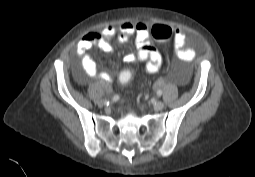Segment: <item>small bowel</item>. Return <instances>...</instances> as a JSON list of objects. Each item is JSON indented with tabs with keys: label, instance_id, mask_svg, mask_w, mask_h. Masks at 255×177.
Segmentation results:
<instances>
[{
	"label": "small bowel",
	"instance_id": "obj_1",
	"mask_svg": "<svg viewBox=\"0 0 255 177\" xmlns=\"http://www.w3.org/2000/svg\"><path fill=\"white\" fill-rule=\"evenodd\" d=\"M135 37L137 47L136 53H129L124 56V61L133 64L136 61L145 62V70L148 74L157 73L162 65L161 54L150 44V24L147 21L124 22L119 29L114 26H106L101 32H91L86 34L76 45L75 53L80 61L83 72L90 78L101 80L110 84L113 80L108 73L98 70L97 64L90 54V49L97 45L104 52H111L112 47L109 39L117 38L120 43H125L130 37ZM186 32L181 28H176L174 32V46L176 56L185 63L191 62L195 57V52L184 48ZM79 82H83L80 74L75 72Z\"/></svg>",
	"mask_w": 255,
	"mask_h": 177
}]
</instances>
